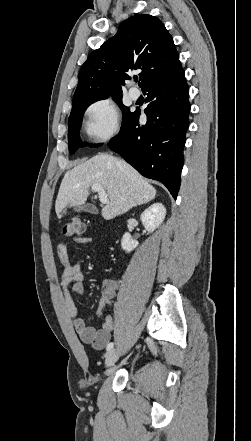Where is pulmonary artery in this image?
Instances as JSON below:
<instances>
[{
    "instance_id": "e3ab8cb5",
    "label": "pulmonary artery",
    "mask_w": 251,
    "mask_h": 441,
    "mask_svg": "<svg viewBox=\"0 0 251 441\" xmlns=\"http://www.w3.org/2000/svg\"><path fill=\"white\" fill-rule=\"evenodd\" d=\"M128 94H129L130 98L133 100H137L140 97V91L135 87H131L129 89Z\"/></svg>"
}]
</instances>
